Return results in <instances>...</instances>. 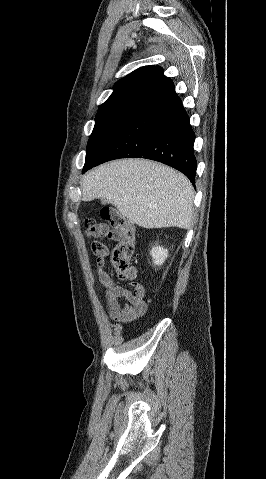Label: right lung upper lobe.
I'll use <instances>...</instances> for the list:
<instances>
[{"instance_id":"obj_1","label":"right lung upper lobe","mask_w":266,"mask_h":479,"mask_svg":"<svg viewBox=\"0 0 266 479\" xmlns=\"http://www.w3.org/2000/svg\"><path fill=\"white\" fill-rule=\"evenodd\" d=\"M172 80L159 66H144L117 81L112 95L99 107L97 115L139 112L161 96L174 90Z\"/></svg>"}]
</instances>
